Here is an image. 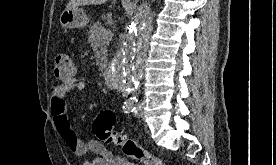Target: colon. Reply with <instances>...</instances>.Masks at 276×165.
I'll use <instances>...</instances> for the list:
<instances>
[{
    "instance_id": "1",
    "label": "colon",
    "mask_w": 276,
    "mask_h": 165,
    "mask_svg": "<svg viewBox=\"0 0 276 165\" xmlns=\"http://www.w3.org/2000/svg\"><path fill=\"white\" fill-rule=\"evenodd\" d=\"M75 72V65L69 54L63 52L56 55L54 73L59 80L65 81L73 78ZM114 124V113L111 110H102L93 122V133L99 140L120 147L129 158L145 165H164L161 158L143 149L133 139L117 132Z\"/></svg>"
}]
</instances>
